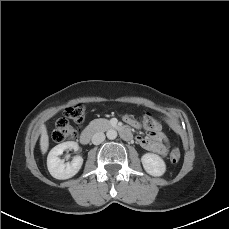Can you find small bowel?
<instances>
[{"instance_id": "c3829d8e", "label": "small bowel", "mask_w": 229, "mask_h": 229, "mask_svg": "<svg viewBox=\"0 0 229 229\" xmlns=\"http://www.w3.org/2000/svg\"><path fill=\"white\" fill-rule=\"evenodd\" d=\"M147 120L153 121V128L150 129L146 136H137L136 141L145 150L156 153L162 157L166 156L169 150L168 138L161 130V123L151 116L146 115L143 117V123ZM125 121L131 126H137L129 116H125Z\"/></svg>"}]
</instances>
